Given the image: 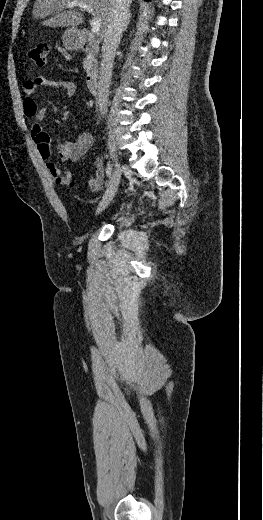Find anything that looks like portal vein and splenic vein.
<instances>
[{"instance_id":"obj_1","label":"portal vein and splenic vein","mask_w":263,"mask_h":520,"mask_svg":"<svg viewBox=\"0 0 263 520\" xmlns=\"http://www.w3.org/2000/svg\"><path fill=\"white\" fill-rule=\"evenodd\" d=\"M68 6L69 7L79 6L81 9L87 11L88 13H93V9L90 6L83 4V3L69 2ZM90 25H91L92 33L97 34L100 31V28H101L100 19H98L96 17L92 18Z\"/></svg>"}]
</instances>
